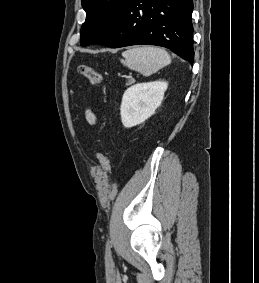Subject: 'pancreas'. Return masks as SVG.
<instances>
[{
	"mask_svg": "<svg viewBox=\"0 0 259 283\" xmlns=\"http://www.w3.org/2000/svg\"><path fill=\"white\" fill-rule=\"evenodd\" d=\"M134 82H135L134 79H129V80L127 81L126 85H131V84H133Z\"/></svg>",
	"mask_w": 259,
	"mask_h": 283,
	"instance_id": "obj_1",
	"label": "pancreas"
}]
</instances>
